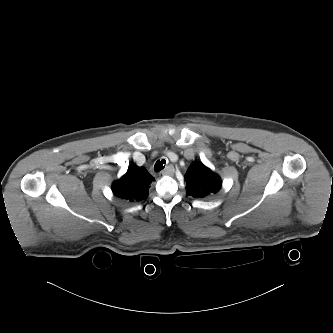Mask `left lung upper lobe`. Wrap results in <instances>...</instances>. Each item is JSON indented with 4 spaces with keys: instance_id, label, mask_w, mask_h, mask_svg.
<instances>
[{
    "instance_id": "obj_1",
    "label": "left lung upper lobe",
    "mask_w": 333,
    "mask_h": 333,
    "mask_svg": "<svg viewBox=\"0 0 333 333\" xmlns=\"http://www.w3.org/2000/svg\"><path fill=\"white\" fill-rule=\"evenodd\" d=\"M186 194L194 198H205L215 195L222 181L201 162H193L185 174Z\"/></svg>"
}]
</instances>
